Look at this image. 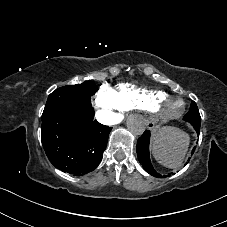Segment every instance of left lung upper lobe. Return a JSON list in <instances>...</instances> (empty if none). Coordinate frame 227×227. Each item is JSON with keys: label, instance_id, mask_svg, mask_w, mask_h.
Listing matches in <instances>:
<instances>
[{"label": "left lung upper lobe", "instance_id": "left-lung-upper-lobe-1", "mask_svg": "<svg viewBox=\"0 0 227 227\" xmlns=\"http://www.w3.org/2000/svg\"><path fill=\"white\" fill-rule=\"evenodd\" d=\"M185 121L191 123V124H197L200 125L201 123V117L199 114L198 107L194 101L191 102L190 110L189 112L184 116L183 118Z\"/></svg>", "mask_w": 227, "mask_h": 227}]
</instances>
